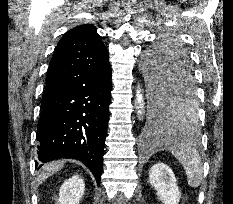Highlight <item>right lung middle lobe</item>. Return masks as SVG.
Instances as JSON below:
<instances>
[{
	"mask_svg": "<svg viewBox=\"0 0 233 204\" xmlns=\"http://www.w3.org/2000/svg\"><path fill=\"white\" fill-rule=\"evenodd\" d=\"M48 122H49V119L47 117L41 116L39 118L37 132H40L48 124Z\"/></svg>",
	"mask_w": 233,
	"mask_h": 204,
	"instance_id": "dd1d6c3e",
	"label": "right lung middle lobe"
}]
</instances>
